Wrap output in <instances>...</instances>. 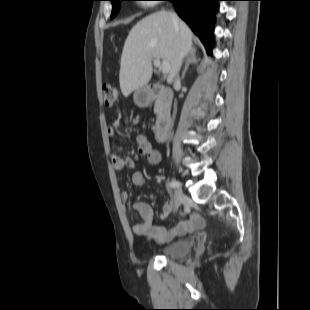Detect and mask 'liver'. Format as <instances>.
I'll return each mask as SVG.
<instances>
[{
  "instance_id": "1",
  "label": "liver",
  "mask_w": 310,
  "mask_h": 310,
  "mask_svg": "<svg viewBox=\"0 0 310 310\" xmlns=\"http://www.w3.org/2000/svg\"><path fill=\"white\" fill-rule=\"evenodd\" d=\"M193 33L181 20L175 25L170 13L158 11L139 21L130 31L121 56L119 82L124 97L144 87L152 77V59L168 62L167 83L178 74L183 58L193 49Z\"/></svg>"
}]
</instances>
